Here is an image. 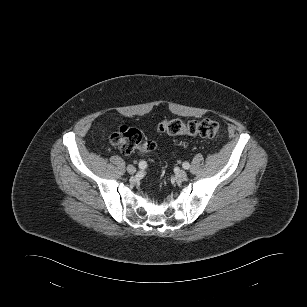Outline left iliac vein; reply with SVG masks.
<instances>
[{
	"instance_id": "1",
	"label": "left iliac vein",
	"mask_w": 307,
	"mask_h": 307,
	"mask_svg": "<svg viewBox=\"0 0 307 307\" xmlns=\"http://www.w3.org/2000/svg\"><path fill=\"white\" fill-rule=\"evenodd\" d=\"M175 178L177 181H184L187 178V173L184 170H179L176 175Z\"/></svg>"
}]
</instances>
